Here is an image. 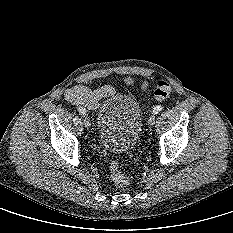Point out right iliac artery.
Masks as SVG:
<instances>
[{
  "mask_svg": "<svg viewBox=\"0 0 233 233\" xmlns=\"http://www.w3.org/2000/svg\"><path fill=\"white\" fill-rule=\"evenodd\" d=\"M78 111H79L80 113H82V114H85V113H86V110H85V108H83V107H78Z\"/></svg>",
  "mask_w": 233,
  "mask_h": 233,
  "instance_id": "1",
  "label": "right iliac artery"
}]
</instances>
